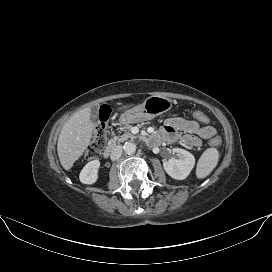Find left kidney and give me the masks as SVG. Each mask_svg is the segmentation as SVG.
Masks as SVG:
<instances>
[{"label":"left kidney","instance_id":"obj_1","mask_svg":"<svg viewBox=\"0 0 272 272\" xmlns=\"http://www.w3.org/2000/svg\"><path fill=\"white\" fill-rule=\"evenodd\" d=\"M173 153H175L178 158H171L168 161L163 162L164 170L172 178L183 180L193 169L195 158L190 152L181 148H174Z\"/></svg>","mask_w":272,"mask_h":272}]
</instances>
